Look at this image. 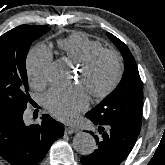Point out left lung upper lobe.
<instances>
[{
    "mask_svg": "<svg viewBox=\"0 0 165 165\" xmlns=\"http://www.w3.org/2000/svg\"><path fill=\"white\" fill-rule=\"evenodd\" d=\"M108 36L122 53L125 71L115 90L86 116L99 122H114L140 130L143 89L135 59L121 40L111 33Z\"/></svg>",
    "mask_w": 165,
    "mask_h": 165,
    "instance_id": "1",
    "label": "left lung upper lobe"
}]
</instances>
